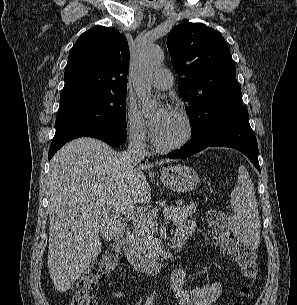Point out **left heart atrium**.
Returning <instances> with one entry per match:
<instances>
[{
    "label": "left heart atrium",
    "instance_id": "39dd6f15",
    "mask_svg": "<svg viewBox=\"0 0 297 305\" xmlns=\"http://www.w3.org/2000/svg\"><path fill=\"white\" fill-rule=\"evenodd\" d=\"M172 115L170 109L163 107L161 108L149 121L153 136L157 134L168 122Z\"/></svg>",
    "mask_w": 297,
    "mask_h": 305
}]
</instances>
